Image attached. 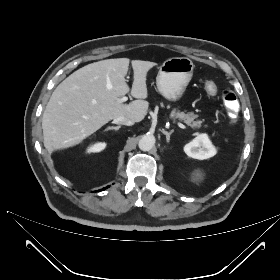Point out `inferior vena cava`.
Instances as JSON below:
<instances>
[{"label": "inferior vena cava", "instance_id": "obj_1", "mask_svg": "<svg viewBox=\"0 0 280 280\" xmlns=\"http://www.w3.org/2000/svg\"><path fill=\"white\" fill-rule=\"evenodd\" d=\"M113 123L115 124H121V125H126V126H131L133 125L135 122L131 119H128L126 117L120 116L117 118L113 119Z\"/></svg>", "mask_w": 280, "mask_h": 280}]
</instances>
